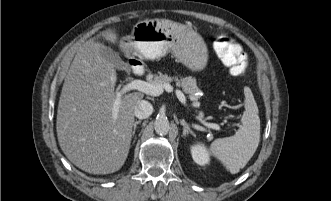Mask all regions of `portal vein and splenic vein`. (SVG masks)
<instances>
[{
	"mask_svg": "<svg viewBox=\"0 0 331 201\" xmlns=\"http://www.w3.org/2000/svg\"><path fill=\"white\" fill-rule=\"evenodd\" d=\"M131 90H138L140 92H143L145 94L151 95V96H159L163 93L165 90L166 92H173L174 88L172 85L169 83L166 84H151L149 82H145L139 79L133 80L126 85H124L119 92L116 93V99L113 104V109H112V117L114 121L118 117V111H119V106L121 103V97L126 94L127 92ZM175 94L179 101L183 104L186 103V97L184 96L183 92L179 89L175 90ZM205 126L208 128H212L215 130H220V127L218 124L215 123H204Z\"/></svg>",
	"mask_w": 331,
	"mask_h": 201,
	"instance_id": "18ae733b",
	"label": "portal vein and splenic vein"
}]
</instances>
